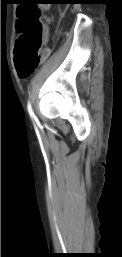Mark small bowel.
I'll return each instance as SVG.
<instances>
[{"mask_svg":"<svg viewBox=\"0 0 122 257\" xmlns=\"http://www.w3.org/2000/svg\"><path fill=\"white\" fill-rule=\"evenodd\" d=\"M46 21L49 22V21H50V18L47 17V18H46ZM48 54H49V50H48V49L44 50V51H43V58L47 57Z\"/></svg>","mask_w":122,"mask_h":257,"instance_id":"small-bowel-1","label":"small bowel"}]
</instances>
